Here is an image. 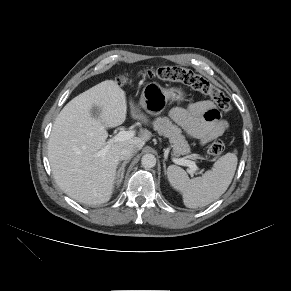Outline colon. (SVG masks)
Returning <instances> with one entry per match:
<instances>
[{
	"label": "colon",
	"instance_id": "1",
	"mask_svg": "<svg viewBox=\"0 0 291 291\" xmlns=\"http://www.w3.org/2000/svg\"><path fill=\"white\" fill-rule=\"evenodd\" d=\"M143 76L147 79H159L167 82L183 83L191 87L193 90L211 98L222 112L228 113L231 110L230 101L224 92L216 88L204 77L195 74L188 69L175 66H161L146 70ZM116 81L119 84L123 83L121 77H118ZM224 149V143L221 140H215L209 145L208 154L211 156H219L223 153Z\"/></svg>",
	"mask_w": 291,
	"mask_h": 291
}]
</instances>
